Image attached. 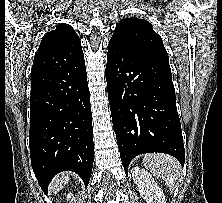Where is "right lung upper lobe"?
Instances as JSON below:
<instances>
[{"instance_id": "cb5924a9", "label": "right lung upper lobe", "mask_w": 222, "mask_h": 203, "mask_svg": "<svg viewBox=\"0 0 222 203\" xmlns=\"http://www.w3.org/2000/svg\"><path fill=\"white\" fill-rule=\"evenodd\" d=\"M84 62L79 36L68 24H59L48 32L39 45L31 73Z\"/></svg>"}]
</instances>
